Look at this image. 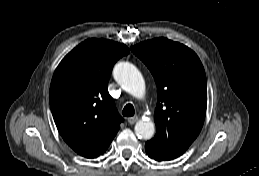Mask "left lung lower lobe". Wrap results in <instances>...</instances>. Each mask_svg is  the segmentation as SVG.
I'll return each instance as SVG.
<instances>
[{"mask_svg": "<svg viewBox=\"0 0 259 176\" xmlns=\"http://www.w3.org/2000/svg\"><path fill=\"white\" fill-rule=\"evenodd\" d=\"M147 152V154H148V156L150 157V158H153V159H155V160H157V161H163V160H168V159H162L161 157H159V156H153L150 152H148V151H146ZM171 160V159H170Z\"/></svg>", "mask_w": 259, "mask_h": 176, "instance_id": "left-lung-lower-lobe-1", "label": "left lung lower lobe"}]
</instances>
